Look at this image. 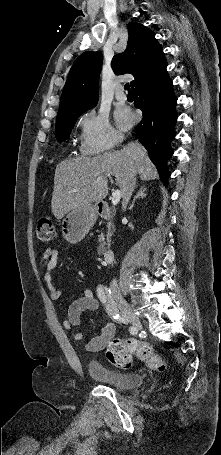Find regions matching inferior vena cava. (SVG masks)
<instances>
[{
	"label": "inferior vena cava",
	"instance_id": "inferior-vena-cava-1",
	"mask_svg": "<svg viewBox=\"0 0 221 455\" xmlns=\"http://www.w3.org/2000/svg\"><path fill=\"white\" fill-rule=\"evenodd\" d=\"M136 186V176L130 178L127 188L123 195V207L125 208L130 200L132 192ZM111 287H118V283L116 279H113L111 282Z\"/></svg>",
	"mask_w": 221,
	"mask_h": 455
}]
</instances>
